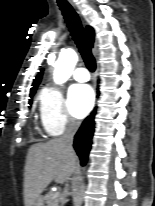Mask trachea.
Masks as SVG:
<instances>
[{"instance_id": "trachea-1", "label": "trachea", "mask_w": 155, "mask_h": 206, "mask_svg": "<svg viewBox=\"0 0 155 206\" xmlns=\"http://www.w3.org/2000/svg\"><path fill=\"white\" fill-rule=\"evenodd\" d=\"M58 6L63 13L69 31L79 49V52L82 55L87 68L89 71L94 72L96 68L95 59L92 55L87 35L82 27L77 13L67 1L58 0Z\"/></svg>"}]
</instances>
